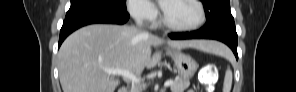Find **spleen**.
Returning a JSON list of instances; mask_svg holds the SVG:
<instances>
[{"mask_svg": "<svg viewBox=\"0 0 296 92\" xmlns=\"http://www.w3.org/2000/svg\"><path fill=\"white\" fill-rule=\"evenodd\" d=\"M215 54L222 55L224 57L230 58V52L220 43H216V49L214 51ZM232 87V71L230 67L227 68L223 83V92H230Z\"/></svg>", "mask_w": 296, "mask_h": 92, "instance_id": "1", "label": "spleen"}]
</instances>
